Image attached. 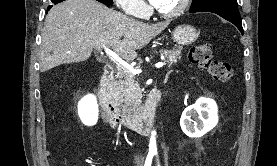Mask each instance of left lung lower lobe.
Wrapping results in <instances>:
<instances>
[{
	"label": "left lung lower lobe",
	"mask_w": 277,
	"mask_h": 166,
	"mask_svg": "<svg viewBox=\"0 0 277 166\" xmlns=\"http://www.w3.org/2000/svg\"><path fill=\"white\" fill-rule=\"evenodd\" d=\"M194 12H212V13L218 14L224 19L233 23L243 34L242 20L237 7L210 6V7L201 8L195 11H191L190 13H194Z\"/></svg>",
	"instance_id": "1"
}]
</instances>
